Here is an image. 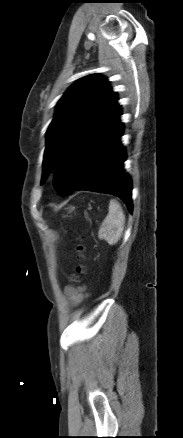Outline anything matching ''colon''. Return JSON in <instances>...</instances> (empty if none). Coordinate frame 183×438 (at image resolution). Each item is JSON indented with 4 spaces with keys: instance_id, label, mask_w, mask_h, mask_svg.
<instances>
[{
    "instance_id": "1",
    "label": "colon",
    "mask_w": 183,
    "mask_h": 438,
    "mask_svg": "<svg viewBox=\"0 0 183 438\" xmlns=\"http://www.w3.org/2000/svg\"><path fill=\"white\" fill-rule=\"evenodd\" d=\"M78 250H79V252H81V251H82V247L79 246V247H78ZM82 270H83V267H81V266L78 267V269H77L78 273H79V272H82Z\"/></svg>"
}]
</instances>
